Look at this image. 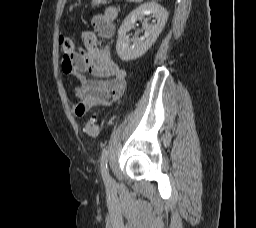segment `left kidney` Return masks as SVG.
Instances as JSON below:
<instances>
[{"mask_svg": "<svg viewBox=\"0 0 256 228\" xmlns=\"http://www.w3.org/2000/svg\"><path fill=\"white\" fill-rule=\"evenodd\" d=\"M150 14L156 18L154 24H148L147 19L144 18L146 15ZM143 19L144 36L133 39V44H131V40L126 34L129 30L134 28V24L137 20ZM167 19V10L155 2L144 3L132 11L118 30L116 51L119 58L122 61H130L141 57L155 43Z\"/></svg>", "mask_w": 256, "mask_h": 228, "instance_id": "1", "label": "left kidney"}]
</instances>
